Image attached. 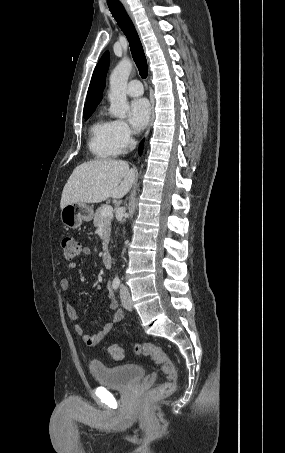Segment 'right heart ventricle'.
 I'll use <instances>...</instances> for the list:
<instances>
[{
  "mask_svg": "<svg viewBox=\"0 0 285 453\" xmlns=\"http://www.w3.org/2000/svg\"><path fill=\"white\" fill-rule=\"evenodd\" d=\"M89 149L97 158H112L119 154L113 121L99 114L89 130Z\"/></svg>",
  "mask_w": 285,
  "mask_h": 453,
  "instance_id": "1",
  "label": "right heart ventricle"
}]
</instances>
